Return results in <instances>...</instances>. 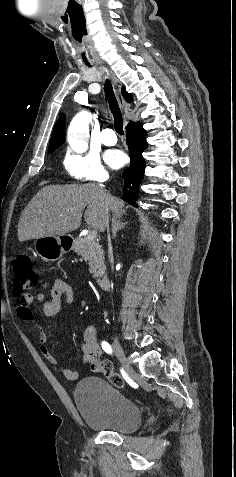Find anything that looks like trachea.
<instances>
[{
  "mask_svg": "<svg viewBox=\"0 0 236 477\" xmlns=\"http://www.w3.org/2000/svg\"><path fill=\"white\" fill-rule=\"evenodd\" d=\"M86 65L88 67H92L89 64H86ZM104 89H105V95H106V98L108 100L111 113L114 117L115 131L119 135H123L124 134V131H123V117H122L117 99L115 97L111 82L109 80H106Z\"/></svg>",
  "mask_w": 236,
  "mask_h": 477,
  "instance_id": "trachea-1",
  "label": "trachea"
}]
</instances>
